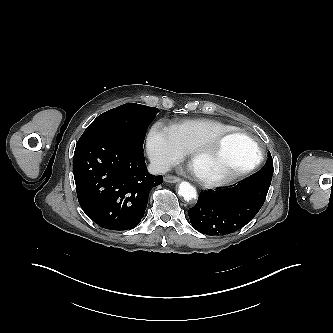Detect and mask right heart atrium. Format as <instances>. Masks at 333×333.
Masks as SVG:
<instances>
[{"mask_svg": "<svg viewBox=\"0 0 333 333\" xmlns=\"http://www.w3.org/2000/svg\"><path fill=\"white\" fill-rule=\"evenodd\" d=\"M147 153L154 167L165 171L179 161L186 151L169 127L156 122L147 135Z\"/></svg>", "mask_w": 333, "mask_h": 333, "instance_id": "obj_1", "label": "right heart atrium"}]
</instances>
